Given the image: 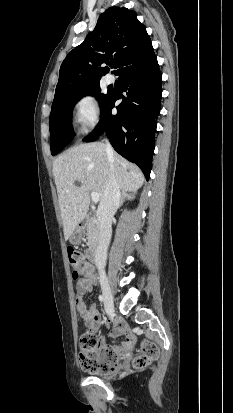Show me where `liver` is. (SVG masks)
Instances as JSON below:
<instances>
[{
  "mask_svg": "<svg viewBox=\"0 0 233 413\" xmlns=\"http://www.w3.org/2000/svg\"><path fill=\"white\" fill-rule=\"evenodd\" d=\"M110 164L120 188L136 192L144 182L141 170L122 156L114 153L109 159L106 145L102 142L80 144L69 148L53 162V174L58 193L65 240L85 219L90 192H97L100 202L103 198ZM79 182L80 185H76Z\"/></svg>",
  "mask_w": 233,
  "mask_h": 413,
  "instance_id": "obj_1",
  "label": "liver"
}]
</instances>
